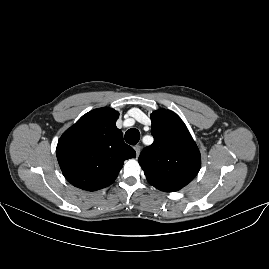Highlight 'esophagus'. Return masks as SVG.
<instances>
[{"mask_svg": "<svg viewBox=\"0 0 269 269\" xmlns=\"http://www.w3.org/2000/svg\"><path fill=\"white\" fill-rule=\"evenodd\" d=\"M134 150L136 152V159L139 157L140 151H141V147L139 145H135L134 146Z\"/></svg>", "mask_w": 269, "mask_h": 269, "instance_id": "34e87169", "label": "esophagus"}]
</instances>
